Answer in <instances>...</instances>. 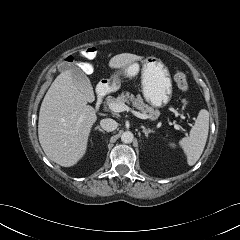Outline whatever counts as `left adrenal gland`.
Here are the masks:
<instances>
[{"label":"left adrenal gland","mask_w":240,"mask_h":240,"mask_svg":"<svg viewBox=\"0 0 240 240\" xmlns=\"http://www.w3.org/2000/svg\"><path fill=\"white\" fill-rule=\"evenodd\" d=\"M142 128H143V133L147 138H148V135L153 132L150 128L148 129H146L145 127H142Z\"/></svg>","instance_id":"1"}]
</instances>
